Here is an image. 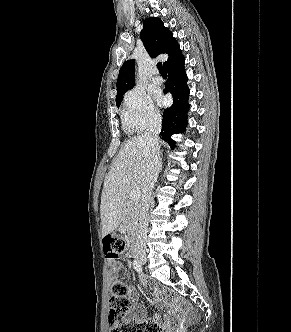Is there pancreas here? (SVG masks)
Returning <instances> with one entry per match:
<instances>
[{
  "label": "pancreas",
  "mask_w": 291,
  "mask_h": 332,
  "mask_svg": "<svg viewBox=\"0 0 291 332\" xmlns=\"http://www.w3.org/2000/svg\"><path fill=\"white\" fill-rule=\"evenodd\" d=\"M140 204L136 201L128 202L123 208V224L122 229L126 232H130L136 223L138 216V209Z\"/></svg>",
  "instance_id": "cf45deb5"
}]
</instances>
